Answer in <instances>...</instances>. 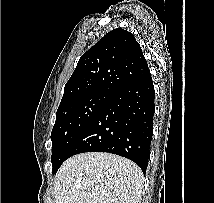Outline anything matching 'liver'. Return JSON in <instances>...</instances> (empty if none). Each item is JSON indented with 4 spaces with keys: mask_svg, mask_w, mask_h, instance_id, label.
Wrapping results in <instances>:
<instances>
[{
    "mask_svg": "<svg viewBox=\"0 0 214 203\" xmlns=\"http://www.w3.org/2000/svg\"><path fill=\"white\" fill-rule=\"evenodd\" d=\"M144 176L132 161L105 152L66 160L54 182L55 203H138Z\"/></svg>",
    "mask_w": 214,
    "mask_h": 203,
    "instance_id": "1",
    "label": "liver"
}]
</instances>
